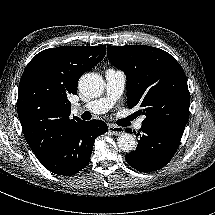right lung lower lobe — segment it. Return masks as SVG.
Masks as SVG:
<instances>
[{
  "label": "right lung lower lobe",
  "mask_w": 215,
  "mask_h": 215,
  "mask_svg": "<svg viewBox=\"0 0 215 215\" xmlns=\"http://www.w3.org/2000/svg\"><path fill=\"white\" fill-rule=\"evenodd\" d=\"M107 130L106 123L100 120L76 121L40 162L52 173L74 175L89 163L96 137Z\"/></svg>",
  "instance_id": "right-lung-lower-lobe-1"
}]
</instances>
